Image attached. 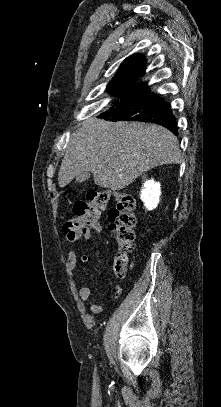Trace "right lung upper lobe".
Listing matches in <instances>:
<instances>
[{
	"label": "right lung upper lobe",
	"instance_id": "right-lung-upper-lobe-1",
	"mask_svg": "<svg viewBox=\"0 0 221 407\" xmlns=\"http://www.w3.org/2000/svg\"><path fill=\"white\" fill-rule=\"evenodd\" d=\"M146 61L142 54H134L126 58L121 64L120 69L108 84L107 89L124 90L145 74ZM145 86L146 84H141Z\"/></svg>",
	"mask_w": 221,
	"mask_h": 407
}]
</instances>
